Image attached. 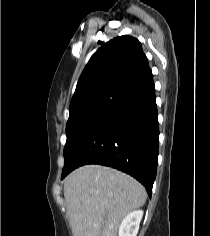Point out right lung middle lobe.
Instances as JSON below:
<instances>
[{
  "instance_id": "1",
  "label": "right lung middle lobe",
  "mask_w": 210,
  "mask_h": 236,
  "mask_svg": "<svg viewBox=\"0 0 210 236\" xmlns=\"http://www.w3.org/2000/svg\"><path fill=\"white\" fill-rule=\"evenodd\" d=\"M127 92L124 89L107 91L69 108V119L66 125L67 141L64 147V166L68 164L71 156L89 131Z\"/></svg>"
}]
</instances>
